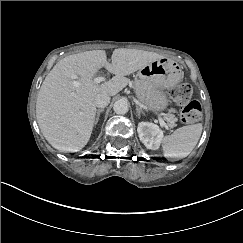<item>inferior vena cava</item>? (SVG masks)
I'll return each mask as SVG.
<instances>
[{"instance_id": "obj_1", "label": "inferior vena cava", "mask_w": 243, "mask_h": 243, "mask_svg": "<svg viewBox=\"0 0 243 243\" xmlns=\"http://www.w3.org/2000/svg\"><path fill=\"white\" fill-rule=\"evenodd\" d=\"M110 96L106 93H99L95 99L94 103L98 107H106L110 103Z\"/></svg>"}]
</instances>
